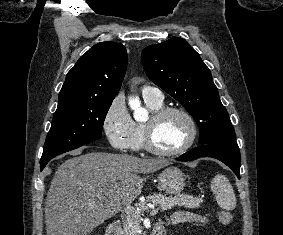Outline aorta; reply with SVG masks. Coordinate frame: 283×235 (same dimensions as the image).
<instances>
[{"label": "aorta", "mask_w": 283, "mask_h": 235, "mask_svg": "<svg viewBox=\"0 0 283 235\" xmlns=\"http://www.w3.org/2000/svg\"><path fill=\"white\" fill-rule=\"evenodd\" d=\"M129 106L133 110V117L135 120H144L147 118V111L141 107V103L138 98L130 97Z\"/></svg>", "instance_id": "aorta-1"}]
</instances>
